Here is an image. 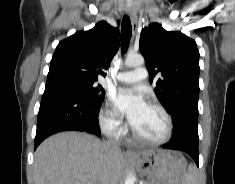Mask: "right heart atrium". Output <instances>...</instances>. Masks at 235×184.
Wrapping results in <instances>:
<instances>
[{"mask_svg":"<svg viewBox=\"0 0 235 184\" xmlns=\"http://www.w3.org/2000/svg\"><path fill=\"white\" fill-rule=\"evenodd\" d=\"M101 128L110 136L118 137L124 131V125L120 118L114 115L110 108L103 107L99 112Z\"/></svg>","mask_w":235,"mask_h":184,"instance_id":"obj_1","label":"right heart atrium"}]
</instances>
